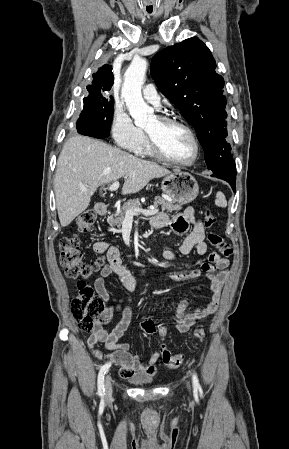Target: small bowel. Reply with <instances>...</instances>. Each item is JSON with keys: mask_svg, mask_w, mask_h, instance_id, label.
<instances>
[{"mask_svg": "<svg viewBox=\"0 0 289 449\" xmlns=\"http://www.w3.org/2000/svg\"><path fill=\"white\" fill-rule=\"evenodd\" d=\"M155 228L170 226L177 235L186 234L191 226V231L186 235L179 247L183 255H188L195 251L197 256L208 254V246L205 241V228L202 221L198 218L195 210L188 207L183 213L175 215L171 220L165 213L156 214L151 220ZM94 252L105 254L108 260L100 274L95 279L94 289L104 300H109V294L106 289V279L115 275L123 288L128 292L136 289V279L132 273L123 265L120 251L117 247L109 246L104 241H97L93 245ZM164 259L174 261L176 255L173 250L165 249L162 252ZM209 263H203L202 269L194 268L184 271H175L170 274L174 281H186L199 277L202 270L206 272L209 280L210 299L202 308L188 312V301L181 299L175 310L176 329L180 333H186L199 320L213 314L219 304L220 294L229 272V260L226 257L212 253L208 256ZM116 313L121 315L120 321L110 331H106L103 325L108 323ZM132 321V310L130 306L124 303H117L105 309L102 318L97 323L93 334L88 338V345L94 349L98 343H103L108 354L106 359L108 363L120 366V375L125 379L133 377L135 374L154 375L157 372L156 362L161 359L160 352L157 351L146 361L142 362L139 356L130 353L129 344L120 342V339L130 326ZM98 356L101 354L96 351Z\"/></svg>", "mask_w": 289, "mask_h": 449, "instance_id": "c3829d8e", "label": "small bowel"}]
</instances>
